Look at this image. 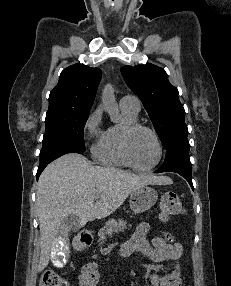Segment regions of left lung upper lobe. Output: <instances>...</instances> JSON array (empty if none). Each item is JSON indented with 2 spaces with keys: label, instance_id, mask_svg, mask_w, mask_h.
Wrapping results in <instances>:
<instances>
[{
  "label": "left lung upper lobe",
  "instance_id": "1",
  "mask_svg": "<svg viewBox=\"0 0 231 286\" xmlns=\"http://www.w3.org/2000/svg\"><path fill=\"white\" fill-rule=\"evenodd\" d=\"M121 73L141 99L165 148L175 139L187 137L185 110L164 69L153 64L123 66Z\"/></svg>",
  "mask_w": 231,
  "mask_h": 286
}]
</instances>
